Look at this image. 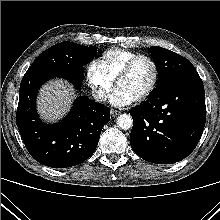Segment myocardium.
<instances>
[{"label":"myocardium","instance_id":"f54148a6","mask_svg":"<svg viewBox=\"0 0 220 220\" xmlns=\"http://www.w3.org/2000/svg\"><path fill=\"white\" fill-rule=\"evenodd\" d=\"M140 60H146L148 61L153 69V75H152V80L149 84V86L146 88V90L140 94L135 100L136 101H143L147 99L155 90L158 80H159V67L157 62L149 55L145 54H138L131 58L119 71V73L116 76V83L118 84V81L125 75H127L135 66V64L140 61Z\"/></svg>","mask_w":220,"mask_h":220}]
</instances>
